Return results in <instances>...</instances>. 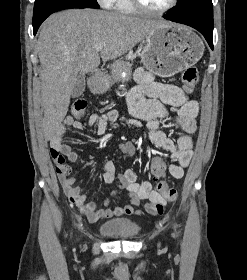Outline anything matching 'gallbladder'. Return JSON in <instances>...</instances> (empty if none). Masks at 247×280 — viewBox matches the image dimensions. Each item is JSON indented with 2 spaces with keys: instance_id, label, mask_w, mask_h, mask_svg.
I'll use <instances>...</instances> for the list:
<instances>
[{
  "instance_id": "1",
  "label": "gallbladder",
  "mask_w": 247,
  "mask_h": 280,
  "mask_svg": "<svg viewBox=\"0 0 247 280\" xmlns=\"http://www.w3.org/2000/svg\"><path fill=\"white\" fill-rule=\"evenodd\" d=\"M85 85H86L85 76L84 74L81 73L78 75L77 80L72 89V93H71L72 97L73 98L79 97L84 92Z\"/></svg>"
}]
</instances>
